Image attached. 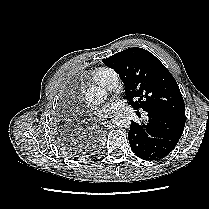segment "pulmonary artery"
Segmentation results:
<instances>
[{"mask_svg":"<svg viewBox=\"0 0 209 209\" xmlns=\"http://www.w3.org/2000/svg\"><path fill=\"white\" fill-rule=\"evenodd\" d=\"M95 81L106 89L112 91L117 88L119 78L115 71L108 69L102 76L97 77Z\"/></svg>","mask_w":209,"mask_h":209,"instance_id":"1","label":"pulmonary artery"}]
</instances>
